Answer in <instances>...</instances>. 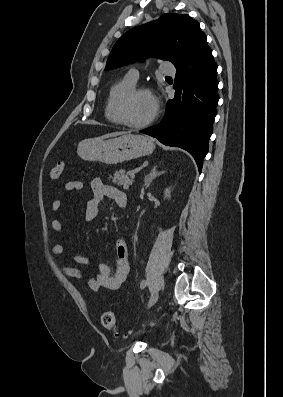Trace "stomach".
<instances>
[{
	"mask_svg": "<svg viewBox=\"0 0 283 397\" xmlns=\"http://www.w3.org/2000/svg\"><path fill=\"white\" fill-rule=\"evenodd\" d=\"M155 149L153 140L144 135L125 134L117 138L86 139L79 143L77 153L86 161L117 164L147 156Z\"/></svg>",
	"mask_w": 283,
	"mask_h": 397,
	"instance_id": "stomach-1",
	"label": "stomach"
}]
</instances>
